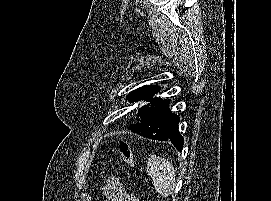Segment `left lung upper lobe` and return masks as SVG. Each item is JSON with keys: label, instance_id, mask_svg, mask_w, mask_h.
<instances>
[{"label": "left lung upper lobe", "instance_id": "left-lung-upper-lobe-1", "mask_svg": "<svg viewBox=\"0 0 271 201\" xmlns=\"http://www.w3.org/2000/svg\"><path fill=\"white\" fill-rule=\"evenodd\" d=\"M157 92H159L157 85L143 86L127 96L129 102L150 101V104H146L138 110L140 118L133 126L139 128L141 136L154 140H160L169 133L174 116V113L168 109L169 100L151 99Z\"/></svg>", "mask_w": 271, "mask_h": 201}]
</instances>
